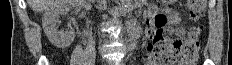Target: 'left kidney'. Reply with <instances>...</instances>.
Segmentation results:
<instances>
[{
  "instance_id": "1",
  "label": "left kidney",
  "mask_w": 232,
  "mask_h": 65,
  "mask_svg": "<svg viewBox=\"0 0 232 65\" xmlns=\"http://www.w3.org/2000/svg\"><path fill=\"white\" fill-rule=\"evenodd\" d=\"M178 21H180V18H178L177 16H175V20H174V22H178Z\"/></svg>"
}]
</instances>
